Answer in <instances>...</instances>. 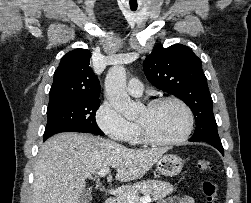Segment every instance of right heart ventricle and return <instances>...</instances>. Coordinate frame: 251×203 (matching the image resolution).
<instances>
[{
  "mask_svg": "<svg viewBox=\"0 0 251 203\" xmlns=\"http://www.w3.org/2000/svg\"><path fill=\"white\" fill-rule=\"evenodd\" d=\"M129 141L134 144L141 142L140 133H139L138 127L136 125H134V129H133V132L129 138Z\"/></svg>",
  "mask_w": 251,
  "mask_h": 203,
  "instance_id": "e07e8e85",
  "label": "right heart ventricle"
}]
</instances>
